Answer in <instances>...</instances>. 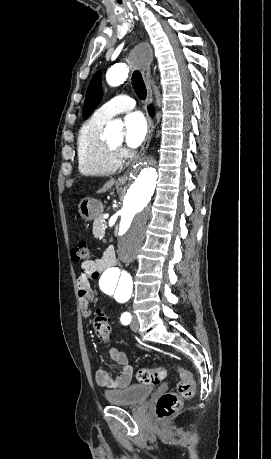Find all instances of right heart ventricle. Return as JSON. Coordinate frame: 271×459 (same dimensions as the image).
Segmentation results:
<instances>
[{
	"label": "right heart ventricle",
	"mask_w": 271,
	"mask_h": 459,
	"mask_svg": "<svg viewBox=\"0 0 271 459\" xmlns=\"http://www.w3.org/2000/svg\"><path fill=\"white\" fill-rule=\"evenodd\" d=\"M105 121L94 116L80 127L76 140L77 168L83 176H99L114 173L120 166L118 153L108 148L102 138Z\"/></svg>",
	"instance_id": "e07e8e85"
}]
</instances>
